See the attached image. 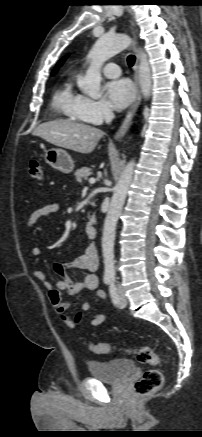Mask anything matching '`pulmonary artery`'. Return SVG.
<instances>
[{
  "mask_svg": "<svg viewBox=\"0 0 202 437\" xmlns=\"http://www.w3.org/2000/svg\"><path fill=\"white\" fill-rule=\"evenodd\" d=\"M103 73L109 78H116L121 75V69L115 63H108L103 67Z\"/></svg>",
  "mask_w": 202,
  "mask_h": 437,
  "instance_id": "pulmonary-artery-1",
  "label": "pulmonary artery"
}]
</instances>
